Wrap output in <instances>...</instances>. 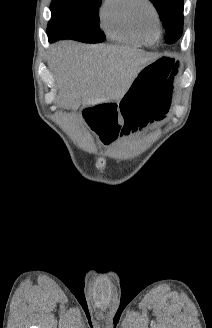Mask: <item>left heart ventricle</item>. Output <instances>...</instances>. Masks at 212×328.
I'll return each instance as SVG.
<instances>
[{
	"label": "left heart ventricle",
	"mask_w": 212,
	"mask_h": 328,
	"mask_svg": "<svg viewBox=\"0 0 212 328\" xmlns=\"http://www.w3.org/2000/svg\"><path fill=\"white\" fill-rule=\"evenodd\" d=\"M139 17L147 33H154L156 31L154 16L148 7L142 6L139 9Z\"/></svg>",
	"instance_id": "1"
}]
</instances>
